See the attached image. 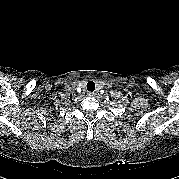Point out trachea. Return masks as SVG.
Masks as SVG:
<instances>
[{"instance_id":"obj_1","label":"trachea","mask_w":179,"mask_h":179,"mask_svg":"<svg viewBox=\"0 0 179 179\" xmlns=\"http://www.w3.org/2000/svg\"><path fill=\"white\" fill-rule=\"evenodd\" d=\"M87 90L93 92L95 90V83L93 81H89L87 83Z\"/></svg>"}]
</instances>
